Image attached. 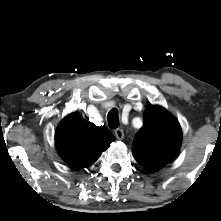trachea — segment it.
Listing matches in <instances>:
<instances>
[{
    "instance_id": "trachea-1",
    "label": "trachea",
    "mask_w": 221,
    "mask_h": 221,
    "mask_svg": "<svg viewBox=\"0 0 221 221\" xmlns=\"http://www.w3.org/2000/svg\"><path fill=\"white\" fill-rule=\"evenodd\" d=\"M107 119L110 128L115 129L119 127V116L117 109L114 108L110 110Z\"/></svg>"
}]
</instances>
